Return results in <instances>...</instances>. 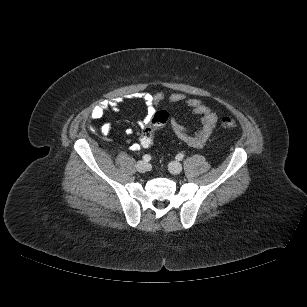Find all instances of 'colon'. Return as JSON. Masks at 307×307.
I'll list each match as a JSON object with an SVG mask.
<instances>
[{
  "mask_svg": "<svg viewBox=\"0 0 307 307\" xmlns=\"http://www.w3.org/2000/svg\"><path fill=\"white\" fill-rule=\"evenodd\" d=\"M168 120V113L164 110H160L154 113L152 116L150 124L144 128L140 136V144L143 147H150L154 142L155 132L159 127L164 125ZM221 125L226 129H234L236 127V122L228 117L224 116L221 118Z\"/></svg>",
  "mask_w": 307,
  "mask_h": 307,
  "instance_id": "1",
  "label": "colon"
}]
</instances>
